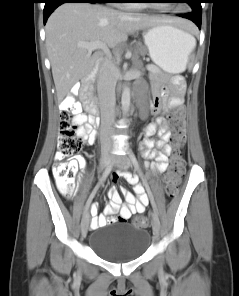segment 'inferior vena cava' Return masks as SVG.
Returning <instances> with one entry per match:
<instances>
[{
	"mask_svg": "<svg viewBox=\"0 0 239 296\" xmlns=\"http://www.w3.org/2000/svg\"><path fill=\"white\" fill-rule=\"evenodd\" d=\"M118 69L115 64L105 58L101 65L98 78V99L101 111V143L113 146L112 131L115 124V87Z\"/></svg>",
	"mask_w": 239,
	"mask_h": 296,
	"instance_id": "inferior-vena-cava-1",
	"label": "inferior vena cava"
}]
</instances>
